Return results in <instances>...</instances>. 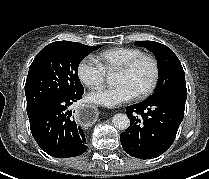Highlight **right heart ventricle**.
<instances>
[{"instance_id": "obj_1", "label": "right heart ventricle", "mask_w": 209, "mask_h": 179, "mask_svg": "<svg viewBox=\"0 0 209 179\" xmlns=\"http://www.w3.org/2000/svg\"><path fill=\"white\" fill-rule=\"evenodd\" d=\"M142 53V50L134 47H114L99 53L96 61L106 73H112Z\"/></svg>"}]
</instances>
